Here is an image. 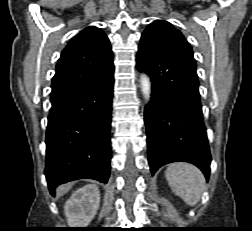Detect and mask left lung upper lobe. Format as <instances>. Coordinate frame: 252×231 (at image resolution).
Listing matches in <instances>:
<instances>
[{
  "instance_id": "1",
  "label": "left lung upper lobe",
  "mask_w": 252,
  "mask_h": 231,
  "mask_svg": "<svg viewBox=\"0 0 252 231\" xmlns=\"http://www.w3.org/2000/svg\"><path fill=\"white\" fill-rule=\"evenodd\" d=\"M139 47L173 49L193 57V50L182 33L164 20L150 23L142 34Z\"/></svg>"
}]
</instances>
